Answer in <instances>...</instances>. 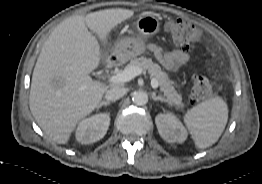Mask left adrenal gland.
Masks as SVG:
<instances>
[{"instance_id":"1","label":"left adrenal gland","mask_w":262,"mask_h":184,"mask_svg":"<svg viewBox=\"0 0 262 184\" xmlns=\"http://www.w3.org/2000/svg\"><path fill=\"white\" fill-rule=\"evenodd\" d=\"M152 99L154 101H161V102H167L168 104H171L167 99H165L164 97L162 96H157L155 93H152Z\"/></svg>"}]
</instances>
